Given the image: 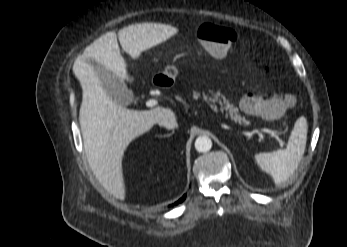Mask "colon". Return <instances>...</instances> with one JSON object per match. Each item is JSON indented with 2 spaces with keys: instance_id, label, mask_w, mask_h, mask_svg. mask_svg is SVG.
Listing matches in <instances>:
<instances>
[{
  "instance_id": "5ec220e1",
  "label": "colon",
  "mask_w": 347,
  "mask_h": 247,
  "mask_svg": "<svg viewBox=\"0 0 347 247\" xmlns=\"http://www.w3.org/2000/svg\"><path fill=\"white\" fill-rule=\"evenodd\" d=\"M196 36L206 52L218 59L225 57L239 38L234 29L216 23L200 25ZM293 104L294 100L290 96L272 99V92L264 91L260 95L244 96L240 101V108L250 115L278 117Z\"/></svg>"
}]
</instances>
